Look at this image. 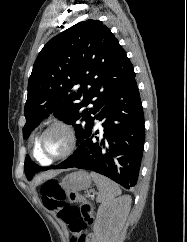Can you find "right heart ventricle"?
Masks as SVG:
<instances>
[{
	"label": "right heart ventricle",
	"instance_id": "e07e8e85",
	"mask_svg": "<svg viewBox=\"0 0 187 242\" xmlns=\"http://www.w3.org/2000/svg\"><path fill=\"white\" fill-rule=\"evenodd\" d=\"M39 137V136H38ZM38 137H36L35 142H34V148H33V153L35 158L41 163V164H48L44 157L39 153L38 147H37V142H38Z\"/></svg>",
	"mask_w": 187,
	"mask_h": 242
}]
</instances>
